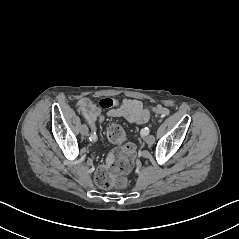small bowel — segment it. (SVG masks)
Wrapping results in <instances>:
<instances>
[{"label": "small bowel", "instance_id": "obj_1", "mask_svg": "<svg viewBox=\"0 0 239 239\" xmlns=\"http://www.w3.org/2000/svg\"><path fill=\"white\" fill-rule=\"evenodd\" d=\"M77 107L93 128H95L97 123L103 118L102 108L88 98L80 99L77 103ZM108 115L111 117H122L128 122L136 124H145L151 117L149 110L145 109L140 101L134 99L113 101V108L108 111Z\"/></svg>", "mask_w": 239, "mask_h": 239}]
</instances>
